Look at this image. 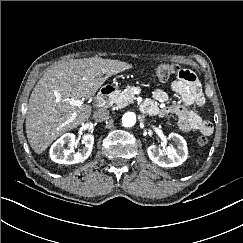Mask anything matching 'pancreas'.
Wrapping results in <instances>:
<instances>
[{
	"instance_id": "1",
	"label": "pancreas",
	"mask_w": 243,
	"mask_h": 243,
	"mask_svg": "<svg viewBox=\"0 0 243 243\" xmlns=\"http://www.w3.org/2000/svg\"><path fill=\"white\" fill-rule=\"evenodd\" d=\"M134 88L127 86L123 91H117L109 98V104H115L117 108H123L131 104L135 98Z\"/></svg>"
}]
</instances>
